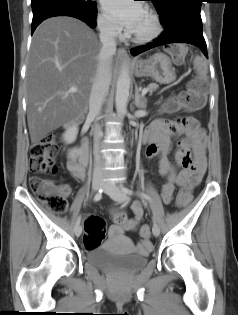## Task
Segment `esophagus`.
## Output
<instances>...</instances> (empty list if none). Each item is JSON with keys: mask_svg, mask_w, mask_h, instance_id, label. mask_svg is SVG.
Here are the masks:
<instances>
[{"mask_svg": "<svg viewBox=\"0 0 238 315\" xmlns=\"http://www.w3.org/2000/svg\"><path fill=\"white\" fill-rule=\"evenodd\" d=\"M117 57L119 59H125V60H129V56L127 51L124 48H119L117 51Z\"/></svg>", "mask_w": 238, "mask_h": 315, "instance_id": "esophagus-1", "label": "esophagus"}]
</instances>
